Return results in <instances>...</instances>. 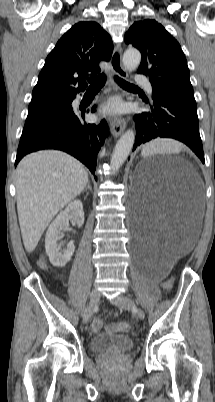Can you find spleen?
I'll list each match as a JSON object with an SVG mask.
<instances>
[{
	"label": "spleen",
	"mask_w": 215,
	"mask_h": 402,
	"mask_svg": "<svg viewBox=\"0 0 215 402\" xmlns=\"http://www.w3.org/2000/svg\"><path fill=\"white\" fill-rule=\"evenodd\" d=\"M176 149H178V145H175ZM174 149V143L169 140H157L154 142H151L147 146L143 148L142 154L143 155H149L152 153H157V152H170L173 151Z\"/></svg>",
	"instance_id": "3e777b00"
}]
</instances>
